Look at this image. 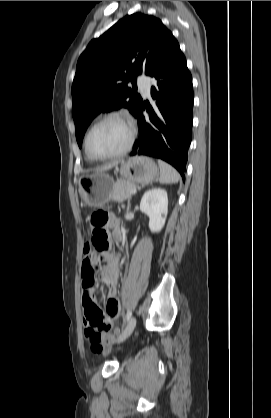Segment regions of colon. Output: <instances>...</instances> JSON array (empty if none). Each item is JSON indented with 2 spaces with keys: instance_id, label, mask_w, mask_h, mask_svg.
<instances>
[{
  "instance_id": "obj_1",
  "label": "colon",
  "mask_w": 271,
  "mask_h": 418,
  "mask_svg": "<svg viewBox=\"0 0 271 418\" xmlns=\"http://www.w3.org/2000/svg\"><path fill=\"white\" fill-rule=\"evenodd\" d=\"M107 223V214L96 212L91 217L92 225V245L97 251H104L108 248L109 242L105 225ZM85 252L89 253L87 246ZM88 328L85 331L91 348H102V334L108 330L109 326L103 318L102 313L97 308H91L87 311Z\"/></svg>"
}]
</instances>
